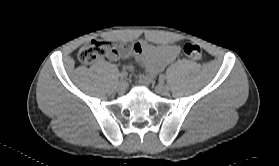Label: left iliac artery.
<instances>
[{"instance_id":"1","label":"left iliac artery","mask_w":279,"mask_h":166,"mask_svg":"<svg viewBox=\"0 0 279 166\" xmlns=\"http://www.w3.org/2000/svg\"><path fill=\"white\" fill-rule=\"evenodd\" d=\"M160 79H161L162 81H164V80H166V76H165V75H161V76H160Z\"/></svg>"}]
</instances>
